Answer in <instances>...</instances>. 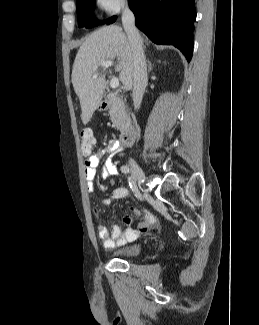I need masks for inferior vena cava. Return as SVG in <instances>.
<instances>
[{
	"label": "inferior vena cava",
	"mask_w": 259,
	"mask_h": 325,
	"mask_svg": "<svg viewBox=\"0 0 259 325\" xmlns=\"http://www.w3.org/2000/svg\"><path fill=\"white\" fill-rule=\"evenodd\" d=\"M122 24L132 46L133 90L132 99L135 109H139L147 85V65L140 34L135 26L133 12L125 7L122 11Z\"/></svg>",
	"instance_id": "1"
}]
</instances>
